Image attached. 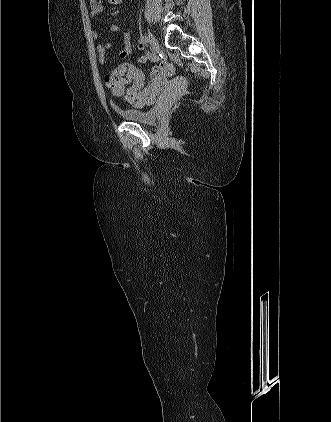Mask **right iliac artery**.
<instances>
[{
    "label": "right iliac artery",
    "mask_w": 331,
    "mask_h": 422,
    "mask_svg": "<svg viewBox=\"0 0 331 422\" xmlns=\"http://www.w3.org/2000/svg\"><path fill=\"white\" fill-rule=\"evenodd\" d=\"M142 41L144 42V43H148V38H147V36H142Z\"/></svg>",
    "instance_id": "obj_1"
}]
</instances>
